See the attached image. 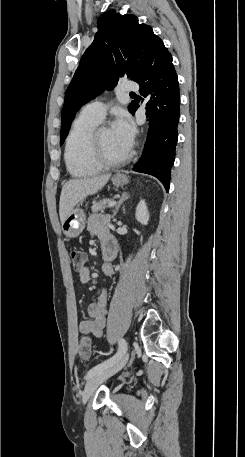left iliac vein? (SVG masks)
Here are the masks:
<instances>
[{
    "mask_svg": "<svg viewBox=\"0 0 245 457\" xmlns=\"http://www.w3.org/2000/svg\"><path fill=\"white\" fill-rule=\"evenodd\" d=\"M129 354L125 352L122 357L111 367L104 369L96 374L91 375L85 385L84 393L82 394V401H88L96 389L105 382L110 376L120 371L128 361Z\"/></svg>",
    "mask_w": 245,
    "mask_h": 457,
    "instance_id": "left-iliac-vein-1",
    "label": "left iliac vein"
}]
</instances>
